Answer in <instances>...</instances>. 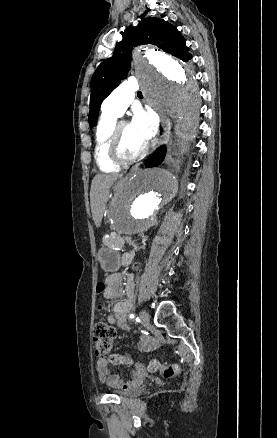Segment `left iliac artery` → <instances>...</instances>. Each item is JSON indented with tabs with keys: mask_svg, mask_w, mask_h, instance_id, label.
I'll return each mask as SVG.
<instances>
[{
	"mask_svg": "<svg viewBox=\"0 0 277 438\" xmlns=\"http://www.w3.org/2000/svg\"><path fill=\"white\" fill-rule=\"evenodd\" d=\"M129 317H130V318H134L135 315H134V314H130Z\"/></svg>",
	"mask_w": 277,
	"mask_h": 438,
	"instance_id": "44dca946",
	"label": "left iliac artery"
}]
</instances>
